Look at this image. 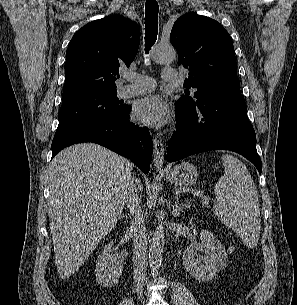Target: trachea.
I'll return each instance as SVG.
<instances>
[{
	"label": "trachea",
	"mask_w": 297,
	"mask_h": 305,
	"mask_svg": "<svg viewBox=\"0 0 297 305\" xmlns=\"http://www.w3.org/2000/svg\"><path fill=\"white\" fill-rule=\"evenodd\" d=\"M158 3L147 0L145 5V51L149 52L157 39L158 32Z\"/></svg>",
	"instance_id": "1"
}]
</instances>
